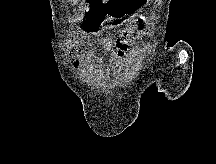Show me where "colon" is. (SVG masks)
I'll list each match as a JSON object with an SVG mask.
<instances>
[{
  "mask_svg": "<svg viewBox=\"0 0 216 164\" xmlns=\"http://www.w3.org/2000/svg\"><path fill=\"white\" fill-rule=\"evenodd\" d=\"M69 48H70V51H71V52L75 53L76 51H78L79 42H78L76 39L72 38V39L70 40Z\"/></svg>",
  "mask_w": 216,
  "mask_h": 164,
  "instance_id": "obj_1",
  "label": "colon"
}]
</instances>
